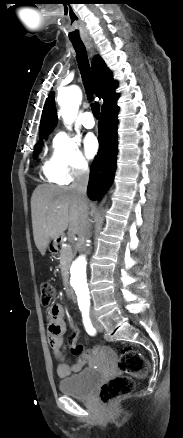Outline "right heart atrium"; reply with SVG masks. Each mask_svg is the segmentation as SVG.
<instances>
[{
  "mask_svg": "<svg viewBox=\"0 0 183 438\" xmlns=\"http://www.w3.org/2000/svg\"><path fill=\"white\" fill-rule=\"evenodd\" d=\"M88 170V161L78 142L64 132L53 139V152L50 163L52 178L59 183H68Z\"/></svg>",
  "mask_w": 183,
  "mask_h": 438,
  "instance_id": "obj_1",
  "label": "right heart atrium"
}]
</instances>
